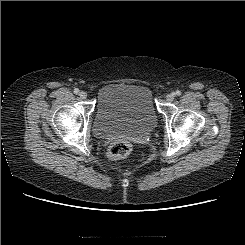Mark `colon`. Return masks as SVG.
<instances>
[{"instance_id": "1", "label": "colon", "mask_w": 245, "mask_h": 245, "mask_svg": "<svg viewBox=\"0 0 245 245\" xmlns=\"http://www.w3.org/2000/svg\"><path fill=\"white\" fill-rule=\"evenodd\" d=\"M132 151V145L129 141L119 140L113 142L108 150L107 155L110 159L114 161H123Z\"/></svg>"}]
</instances>
